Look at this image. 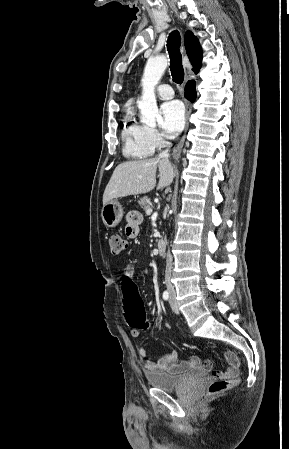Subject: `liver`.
I'll list each match as a JSON object with an SVG mask.
<instances>
[{
  "label": "liver",
  "instance_id": "obj_1",
  "mask_svg": "<svg viewBox=\"0 0 289 449\" xmlns=\"http://www.w3.org/2000/svg\"><path fill=\"white\" fill-rule=\"evenodd\" d=\"M157 168L159 170L157 189L171 185L175 174L168 159L157 157L119 164L105 188L103 205L116 198L145 194L153 190L156 185Z\"/></svg>",
  "mask_w": 289,
  "mask_h": 449
}]
</instances>
